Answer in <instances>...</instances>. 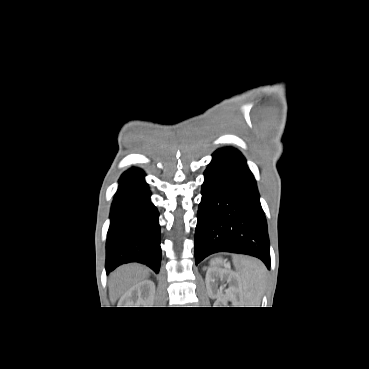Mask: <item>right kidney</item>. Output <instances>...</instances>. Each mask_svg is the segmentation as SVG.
Listing matches in <instances>:
<instances>
[{
    "label": "right kidney",
    "mask_w": 369,
    "mask_h": 369,
    "mask_svg": "<svg viewBox=\"0 0 369 369\" xmlns=\"http://www.w3.org/2000/svg\"><path fill=\"white\" fill-rule=\"evenodd\" d=\"M155 284L143 280L132 286L124 295V307H151L154 302Z\"/></svg>",
    "instance_id": "1"
}]
</instances>
